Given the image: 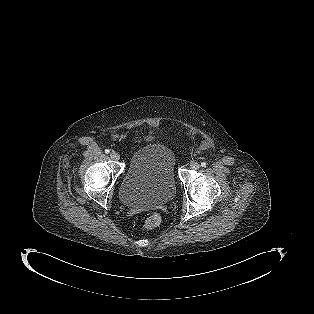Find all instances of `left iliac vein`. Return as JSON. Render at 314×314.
<instances>
[{
    "label": "left iliac vein",
    "mask_w": 314,
    "mask_h": 314,
    "mask_svg": "<svg viewBox=\"0 0 314 314\" xmlns=\"http://www.w3.org/2000/svg\"><path fill=\"white\" fill-rule=\"evenodd\" d=\"M190 168L193 170H198L200 168V164L197 162H191Z\"/></svg>",
    "instance_id": "4c4485c4"
}]
</instances>
